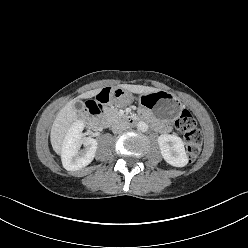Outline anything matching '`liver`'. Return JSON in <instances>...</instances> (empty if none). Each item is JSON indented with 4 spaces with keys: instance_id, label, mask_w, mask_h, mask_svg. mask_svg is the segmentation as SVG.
Masks as SVG:
<instances>
[{
    "instance_id": "1",
    "label": "liver",
    "mask_w": 248,
    "mask_h": 248,
    "mask_svg": "<svg viewBox=\"0 0 248 248\" xmlns=\"http://www.w3.org/2000/svg\"><path fill=\"white\" fill-rule=\"evenodd\" d=\"M119 87L136 94H149L152 92L159 91L157 88L142 86V85H130V84H122ZM101 89L90 90L82 95L79 98H92L96 96ZM77 99H73L69 101L58 113L56 116L50 133V140L53 150L57 154L62 153L63 142L67 132L70 127L77 121L78 115L75 109V102Z\"/></svg>"
}]
</instances>
